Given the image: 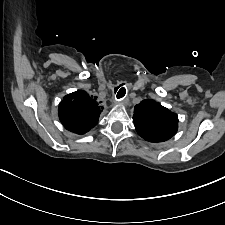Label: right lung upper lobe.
<instances>
[{"instance_id":"1","label":"right lung upper lobe","mask_w":225,"mask_h":225,"mask_svg":"<svg viewBox=\"0 0 225 225\" xmlns=\"http://www.w3.org/2000/svg\"><path fill=\"white\" fill-rule=\"evenodd\" d=\"M85 91L68 94L61 101L58 114L64 127L76 134H85L98 123L101 106Z\"/></svg>"}]
</instances>
